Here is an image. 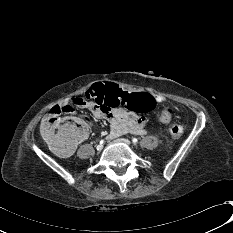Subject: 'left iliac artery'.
<instances>
[{
	"label": "left iliac artery",
	"instance_id": "1",
	"mask_svg": "<svg viewBox=\"0 0 233 233\" xmlns=\"http://www.w3.org/2000/svg\"><path fill=\"white\" fill-rule=\"evenodd\" d=\"M132 142H133L134 144H136V143L138 142V139H137V138H133V139H132Z\"/></svg>",
	"mask_w": 233,
	"mask_h": 233
}]
</instances>
